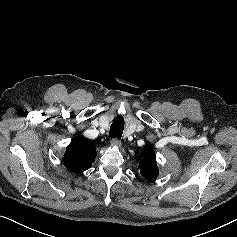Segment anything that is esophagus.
Returning a JSON list of instances; mask_svg holds the SVG:
<instances>
[{
    "mask_svg": "<svg viewBox=\"0 0 237 237\" xmlns=\"http://www.w3.org/2000/svg\"><path fill=\"white\" fill-rule=\"evenodd\" d=\"M111 144H112L113 146H115V147H121V141H120L119 139H117V138H113V139L111 140Z\"/></svg>",
    "mask_w": 237,
    "mask_h": 237,
    "instance_id": "1",
    "label": "esophagus"
}]
</instances>
